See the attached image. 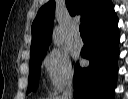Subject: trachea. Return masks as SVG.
Returning <instances> with one entry per match:
<instances>
[{
    "instance_id": "3493384b",
    "label": "trachea",
    "mask_w": 128,
    "mask_h": 99,
    "mask_svg": "<svg viewBox=\"0 0 128 99\" xmlns=\"http://www.w3.org/2000/svg\"><path fill=\"white\" fill-rule=\"evenodd\" d=\"M79 31H80V35H81L82 37H87V31H86V27H85L84 24H81V25L79 26Z\"/></svg>"
}]
</instances>
